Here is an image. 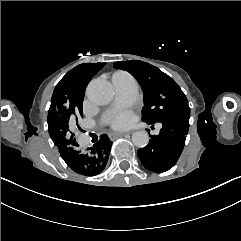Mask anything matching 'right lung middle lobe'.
<instances>
[{
    "instance_id": "right-lung-middle-lobe-1",
    "label": "right lung middle lobe",
    "mask_w": 241,
    "mask_h": 241,
    "mask_svg": "<svg viewBox=\"0 0 241 241\" xmlns=\"http://www.w3.org/2000/svg\"><path fill=\"white\" fill-rule=\"evenodd\" d=\"M106 63L80 64L69 71L56 85L51 98L48 118H53L64 130L68 142L75 141L72 129L82 116L86 86Z\"/></svg>"
}]
</instances>
